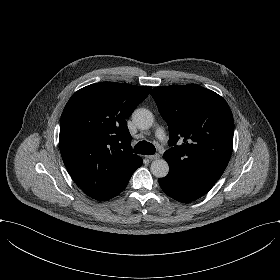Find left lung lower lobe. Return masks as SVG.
Returning a JSON list of instances; mask_svg holds the SVG:
<instances>
[{"instance_id": "0a47b994", "label": "left lung lower lobe", "mask_w": 280, "mask_h": 280, "mask_svg": "<svg viewBox=\"0 0 280 280\" xmlns=\"http://www.w3.org/2000/svg\"><path fill=\"white\" fill-rule=\"evenodd\" d=\"M216 181L202 176L184 177L180 173L170 170L166 177L159 179V184L169 197L182 203H188L205 195Z\"/></svg>"}]
</instances>
